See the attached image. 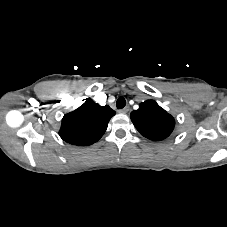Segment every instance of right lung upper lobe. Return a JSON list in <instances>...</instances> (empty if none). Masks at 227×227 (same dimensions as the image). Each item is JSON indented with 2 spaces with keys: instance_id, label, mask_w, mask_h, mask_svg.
I'll return each mask as SVG.
<instances>
[{
  "instance_id": "cb5924a9",
  "label": "right lung upper lobe",
  "mask_w": 227,
  "mask_h": 227,
  "mask_svg": "<svg viewBox=\"0 0 227 227\" xmlns=\"http://www.w3.org/2000/svg\"><path fill=\"white\" fill-rule=\"evenodd\" d=\"M114 115L115 111L108 105L100 106L87 99L79 108L64 115L59 135L73 145H91L102 137Z\"/></svg>"
}]
</instances>
